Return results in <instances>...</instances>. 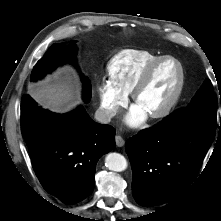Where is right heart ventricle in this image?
<instances>
[{"label": "right heart ventricle", "mask_w": 221, "mask_h": 221, "mask_svg": "<svg viewBox=\"0 0 221 221\" xmlns=\"http://www.w3.org/2000/svg\"><path fill=\"white\" fill-rule=\"evenodd\" d=\"M159 57L161 55L147 50H123L108 63L110 81L125 94H130L147 66Z\"/></svg>", "instance_id": "obj_1"}]
</instances>
